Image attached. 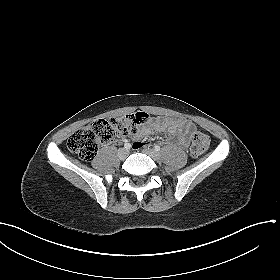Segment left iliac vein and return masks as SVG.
Masks as SVG:
<instances>
[{
  "mask_svg": "<svg viewBox=\"0 0 280 280\" xmlns=\"http://www.w3.org/2000/svg\"><path fill=\"white\" fill-rule=\"evenodd\" d=\"M144 152L149 155L153 160L158 161L160 159V155L153 149H145Z\"/></svg>",
  "mask_w": 280,
  "mask_h": 280,
  "instance_id": "1",
  "label": "left iliac vein"
}]
</instances>
